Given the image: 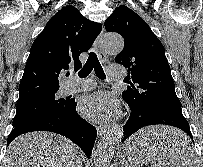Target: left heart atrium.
<instances>
[{
    "label": "left heart atrium",
    "mask_w": 203,
    "mask_h": 167,
    "mask_svg": "<svg viewBox=\"0 0 203 167\" xmlns=\"http://www.w3.org/2000/svg\"><path fill=\"white\" fill-rule=\"evenodd\" d=\"M79 110L87 118L104 122L117 116L119 103L112 94L102 91L82 98Z\"/></svg>",
    "instance_id": "39dd6f15"
}]
</instances>
